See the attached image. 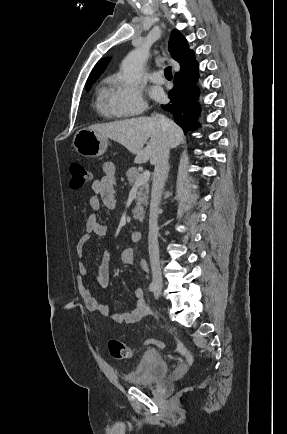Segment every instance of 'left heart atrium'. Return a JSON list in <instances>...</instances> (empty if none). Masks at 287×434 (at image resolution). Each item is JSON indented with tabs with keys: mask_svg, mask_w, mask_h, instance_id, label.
<instances>
[{
	"mask_svg": "<svg viewBox=\"0 0 287 434\" xmlns=\"http://www.w3.org/2000/svg\"><path fill=\"white\" fill-rule=\"evenodd\" d=\"M151 95L155 99H160L162 97V91L158 88H154L151 91Z\"/></svg>",
	"mask_w": 287,
	"mask_h": 434,
	"instance_id": "left-heart-atrium-1",
	"label": "left heart atrium"
}]
</instances>
